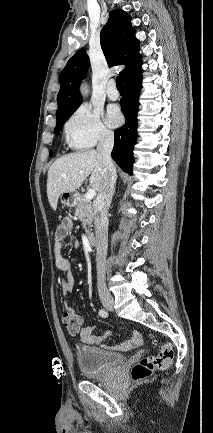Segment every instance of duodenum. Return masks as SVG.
<instances>
[{"label":"duodenum","instance_id":"duodenum-1","mask_svg":"<svg viewBox=\"0 0 213 433\" xmlns=\"http://www.w3.org/2000/svg\"><path fill=\"white\" fill-rule=\"evenodd\" d=\"M88 240H89L90 245H92V246H96L98 243L97 237L93 233H90L88 235Z\"/></svg>","mask_w":213,"mask_h":433}]
</instances>
